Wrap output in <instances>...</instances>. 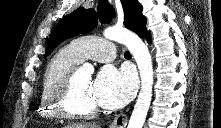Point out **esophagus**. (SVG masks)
Here are the masks:
<instances>
[{
    "mask_svg": "<svg viewBox=\"0 0 221 128\" xmlns=\"http://www.w3.org/2000/svg\"><path fill=\"white\" fill-rule=\"evenodd\" d=\"M128 118L124 114H119L110 124V128H124L127 125Z\"/></svg>",
    "mask_w": 221,
    "mask_h": 128,
    "instance_id": "34e87169",
    "label": "esophagus"
}]
</instances>
